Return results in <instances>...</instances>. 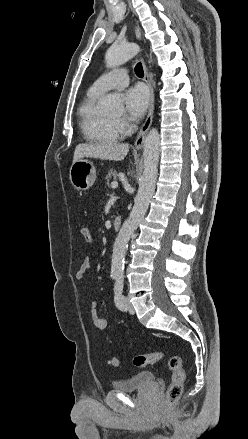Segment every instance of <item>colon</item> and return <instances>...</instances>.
Wrapping results in <instances>:
<instances>
[{"instance_id": "obj_1", "label": "colon", "mask_w": 248, "mask_h": 439, "mask_svg": "<svg viewBox=\"0 0 248 439\" xmlns=\"http://www.w3.org/2000/svg\"><path fill=\"white\" fill-rule=\"evenodd\" d=\"M82 236L86 242L92 241V232L89 228L85 227L82 229ZM164 357L165 354L160 351L149 354H140L133 358V364L136 367H144L159 362L163 360ZM109 364L113 367H118L120 365V360L113 357L109 360ZM168 365L171 370V381L166 392V398L167 401L172 404L181 397L185 382V371L183 362L178 356H170L168 358Z\"/></svg>"}]
</instances>
